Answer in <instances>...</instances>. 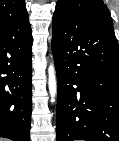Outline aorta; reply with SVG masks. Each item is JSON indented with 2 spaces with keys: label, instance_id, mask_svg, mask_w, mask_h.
Listing matches in <instances>:
<instances>
[{
  "label": "aorta",
  "instance_id": "aorta-1",
  "mask_svg": "<svg viewBox=\"0 0 119 141\" xmlns=\"http://www.w3.org/2000/svg\"><path fill=\"white\" fill-rule=\"evenodd\" d=\"M48 87H49V93L51 96V102L55 101V97L57 94V80H56V73L54 65L51 64L48 68Z\"/></svg>",
  "mask_w": 119,
  "mask_h": 141
}]
</instances>
